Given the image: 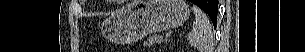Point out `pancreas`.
Listing matches in <instances>:
<instances>
[{
    "label": "pancreas",
    "mask_w": 305,
    "mask_h": 52,
    "mask_svg": "<svg viewBox=\"0 0 305 52\" xmlns=\"http://www.w3.org/2000/svg\"><path fill=\"white\" fill-rule=\"evenodd\" d=\"M163 37L160 35H153L152 37L148 38V45H153V44H160L161 42H163Z\"/></svg>",
    "instance_id": "obj_1"
}]
</instances>
